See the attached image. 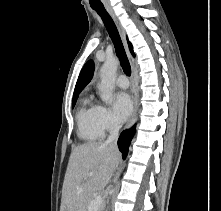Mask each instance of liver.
I'll return each mask as SVG.
<instances>
[{
	"mask_svg": "<svg viewBox=\"0 0 221 211\" xmlns=\"http://www.w3.org/2000/svg\"><path fill=\"white\" fill-rule=\"evenodd\" d=\"M118 149L91 142L72 149L62 189V211H84L85 202L102 191L118 166Z\"/></svg>",
	"mask_w": 221,
	"mask_h": 211,
	"instance_id": "obj_1",
	"label": "liver"
}]
</instances>
